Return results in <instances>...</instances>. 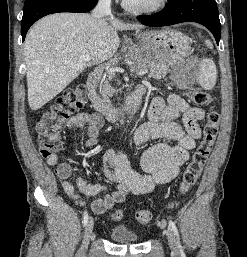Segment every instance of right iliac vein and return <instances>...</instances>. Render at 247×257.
<instances>
[{"label": "right iliac vein", "mask_w": 247, "mask_h": 257, "mask_svg": "<svg viewBox=\"0 0 247 257\" xmlns=\"http://www.w3.org/2000/svg\"><path fill=\"white\" fill-rule=\"evenodd\" d=\"M93 227H94V220L92 217L89 218L86 227H85V231H84V235H83V239H82V243L81 246L76 254V257H85L86 255V251L88 248V244L90 241V237L93 231Z\"/></svg>", "instance_id": "1"}]
</instances>
